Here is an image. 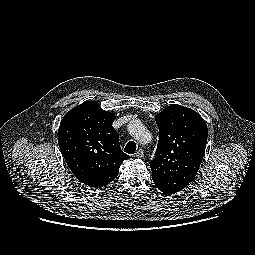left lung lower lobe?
<instances>
[{"label": "left lung lower lobe", "mask_w": 255, "mask_h": 255, "mask_svg": "<svg viewBox=\"0 0 255 255\" xmlns=\"http://www.w3.org/2000/svg\"><path fill=\"white\" fill-rule=\"evenodd\" d=\"M156 185V184H155ZM157 186V188L160 190V191H162L163 193H165V194H174L173 192H171V191H169V190H167V189H164V188H161L160 186H158V185H156Z\"/></svg>", "instance_id": "left-lung-lower-lobe-1"}]
</instances>
